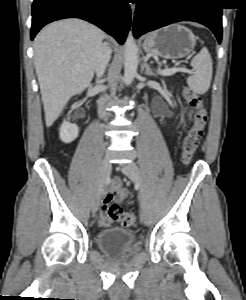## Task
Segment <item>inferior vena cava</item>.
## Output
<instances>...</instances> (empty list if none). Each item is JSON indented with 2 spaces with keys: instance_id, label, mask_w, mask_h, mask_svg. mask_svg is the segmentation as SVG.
<instances>
[{
  "instance_id": "obj_1",
  "label": "inferior vena cava",
  "mask_w": 246,
  "mask_h": 300,
  "mask_svg": "<svg viewBox=\"0 0 246 300\" xmlns=\"http://www.w3.org/2000/svg\"><path fill=\"white\" fill-rule=\"evenodd\" d=\"M110 56H111V49L106 43L102 44L95 63V73L97 79H100L104 75L106 66L110 60ZM98 88L101 91L105 90V87L102 85H98ZM104 104H105V99L101 97L98 100V113L101 118H105L106 115L104 110Z\"/></svg>"
}]
</instances>
